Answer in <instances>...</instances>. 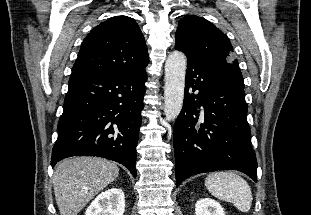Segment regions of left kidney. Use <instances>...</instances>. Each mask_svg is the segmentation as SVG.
<instances>
[{
  "label": "left kidney",
  "instance_id": "1",
  "mask_svg": "<svg viewBox=\"0 0 311 215\" xmlns=\"http://www.w3.org/2000/svg\"><path fill=\"white\" fill-rule=\"evenodd\" d=\"M196 215H225L219 202L211 198L199 199L195 205Z\"/></svg>",
  "mask_w": 311,
  "mask_h": 215
}]
</instances>
